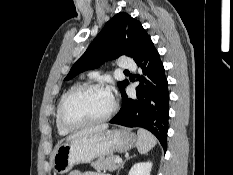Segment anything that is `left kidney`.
<instances>
[{
  "mask_svg": "<svg viewBox=\"0 0 233 175\" xmlns=\"http://www.w3.org/2000/svg\"><path fill=\"white\" fill-rule=\"evenodd\" d=\"M151 168V162H139L132 166L128 175H150Z\"/></svg>",
  "mask_w": 233,
  "mask_h": 175,
  "instance_id": "obj_1",
  "label": "left kidney"
}]
</instances>
